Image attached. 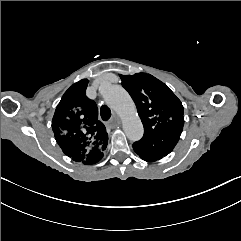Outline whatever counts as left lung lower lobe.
Here are the masks:
<instances>
[{
  "instance_id": "1",
  "label": "left lung lower lobe",
  "mask_w": 241,
  "mask_h": 241,
  "mask_svg": "<svg viewBox=\"0 0 241 241\" xmlns=\"http://www.w3.org/2000/svg\"><path fill=\"white\" fill-rule=\"evenodd\" d=\"M181 132H166L155 141L139 140L133 144L134 151L147 162L157 161L168 155L180 138Z\"/></svg>"
}]
</instances>
